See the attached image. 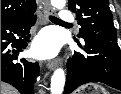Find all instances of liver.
<instances>
[{
    "label": "liver",
    "instance_id": "liver-1",
    "mask_svg": "<svg viewBox=\"0 0 121 94\" xmlns=\"http://www.w3.org/2000/svg\"><path fill=\"white\" fill-rule=\"evenodd\" d=\"M1 94H18V91L9 84L1 82Z\"/></svg>",
    "mask_w": 121,
    "mask_h": 94
}]
</instances>
